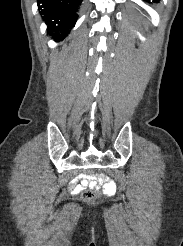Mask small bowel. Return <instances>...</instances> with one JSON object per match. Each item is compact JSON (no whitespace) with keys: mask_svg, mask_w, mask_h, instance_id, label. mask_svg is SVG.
<instances>
[{"mask_svg":"<svg viewBox=\"0 0 183 246\" xmlns=\"http://www.w3.org/2000/svg\"><path fill=\"white\" fill-rule=\"evenodd\" d=\"M77 179H81L84 182L74 184L72 187L73 193H79L87 187H95L94 182H104L105 189H103V194H106V198H114L115 196L116 181H113L111 177H107V174H92V178H88V174H77Z\"/></svg>","mask_w":183,"mask_h":246,"instance_id":"1","label":"small bowel"}]
</instances>
